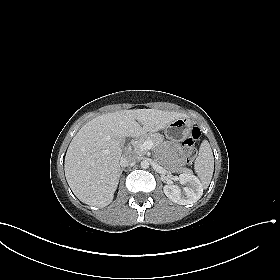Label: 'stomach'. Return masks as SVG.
Returning a JSON list of instances; mask_svg holds the SVG:
<instances>
[{
    "label": "stomach",
    "mask_w": 280,
    "mask_h": 280,
    "mask_svg": "<svg viewBox=\"0 0 280 280\" xmlns=\"http://www.w3.org/2000/svg\"><path fill=\"white\" fill-rule=\"evenodd\" d=\"M192 122L189 118L183 117L170 122L164 130L167 138L171 140H182L190 133Z\"/></svg>",
    "instance_id": "obj_1"
}]
</instances>
